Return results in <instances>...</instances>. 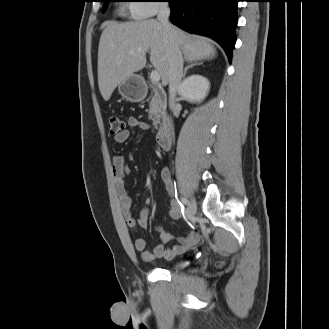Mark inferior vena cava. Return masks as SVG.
I'll return each mask as SVG.
<instances>
[{"label": "inferior vena cava", "mask_w": 329, "mask_h": 329, "mask_svg": "<svg viewBox=\"0 0 329 329\" xmlns=\"http://www.w3.org/2000/svg\"><path fill=\"white\" fill-rule=\"evenodd\" d=\"M170 8L168 3L160 4L157 19L163 26L171 46V59L169 64V107L172 111L177 108V92L183 77V58L178 47V35L175 28L169 23Z\"/></svg>", "instance_id": "602c4592"}]
</instances>
